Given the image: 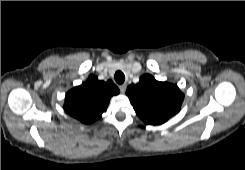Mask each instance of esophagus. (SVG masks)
Returning <instances> with one entry per match:
<instances>
[{"label": "esophagus", "mask_w": 245, "mask_h": 170, "mask_svg": "<svg viewBox=\"0 0 245 170\" xmlns=\"http://www.w3.org/2000/svg\"><path fill=\"white\" fill-rule=\"evenodd\" d=\"M119 89H120L121 93H124L125 90H126V84L120 85V86H119Z\"/></svg>", "instance_id": "34e87169"}]
</instances>
